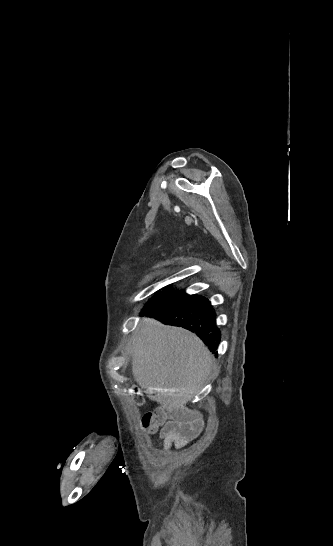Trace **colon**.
<instances>
[{
  "label": "colon",
  "instance_id": "1",
  "mask_svg": "<svg viewBox=\"0 0 333 546\" xmlns=\"http://www.w3.org/2000/svg\"><path fill=\"white\" fill-rule=\"evenodd\" d=\"M142 426L145 430L150 432H154L156 430V423L152 413H147L143 416Z\"/></svg>",
  "mask_w": 333,
  "mask_h": 546
}]
</instances>
